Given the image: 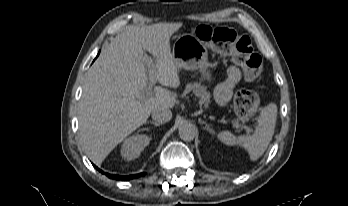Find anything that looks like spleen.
Returning a JSON list of instances; mask_svg holds the SVG:
<instances>
[{"mask_svg":"<svg viewBox=\"0 0 348 206\" xmlns=\"http://www.w3.org/2000/svg\"><path fill=\"white\" fill-rule=\"evenodd\" d=\"M277 117V106L269 104L260 111L257 126L252 135L236 137L229 131L218 133L217 138L225 145H240L249 153L250 159L255 161L266 151L272 140Z\"/></svg>","mask_w":348,"mask_h":206,"instance_id":"spleen-1","label":"spleen"}]
</instances>
